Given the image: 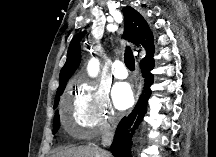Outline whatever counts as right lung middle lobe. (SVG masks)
Returning <instances> with one entry per match:
<instances>
[{
    "instance_id": "dd1d6c3e",
    "label": "right lung middle lobe",
    "mask_w": 216,
    "mask_h": 157,
    "mask_svg": "<svg viewBox=\"0 0 216 157\" xmlns=\"http://www.w3.org/2000/svg\"><path fill=\"white\" fill-rule=\"evenodd\" d=\"M63 93V90L59 92V94L57 95L56 99H55V103H54V108L57 107L58 105V102H59V98H60V95ZM54 131L53 133L55 134L58 130V128L60 127V121H59V114H58V111H56L55 113V117H54Z\"/></svg>"
}]
</instances>
